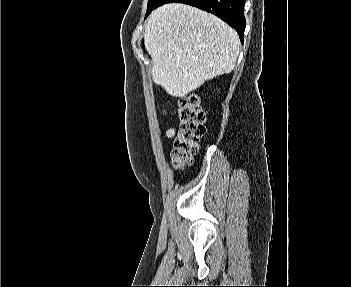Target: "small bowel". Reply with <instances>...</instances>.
Segmentation results:
<instances>
[{"label": "small bowel", "mask_w": 351, "mask_h": 287, "mask_svg": "<svg viewBox=\"0 0 351 287\" xmlns=\"http://www.w3.org/2000/svg\"><path fill=\"white\" fill-rule=\"evenodd\" d=\"M175 128L172 127V128H169L167 129L165 132H164V136L167 137V138H172L174 135H175Z\"/></svg>", "instance_id": "obj_1"}]
</instances>
